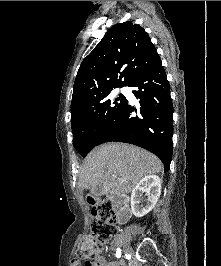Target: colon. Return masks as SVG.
<instances>
[{
  "mask_svg": "<svg viewBox=\"0 0 221 266\" xmlns=\"http://www.w3.org/2000/svg\"><path fill=\"white\" fill-rule=\"evenodd\" d=\"M94 220L91 223V231L80 241L78 258H96L101 250V244L110 239L116 233L115 207L112 202L106 200L93 209Z\"/></svg>",
  "mask_w": 221,
  "mask_h": 266,
  "instance_id": "obj_1",
  "label": "colon"
}]
</instances>
